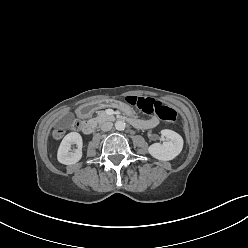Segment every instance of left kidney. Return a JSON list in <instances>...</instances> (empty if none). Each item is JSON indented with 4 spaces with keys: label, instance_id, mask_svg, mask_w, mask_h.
<instances>
[{
    "label": "left kidney",
    "instance_id": "5707ae66",
    "mask_svg": "<svg viewBox=\"0 0 248 248\" xmlns=\"http://www.w3.org/2000/svg\"><path fill=\"white\" fill-rule=\"evenodd\" d=\"M161 135L166 137L168 141L154 143L149 146L148 152L151 156L158 160L169 161L180 154L183 149V138L176 132L164 129L161 130Z\"/></svg>",
    "mask_w": 248,
    "mask_h": 248
}]
</instances>
